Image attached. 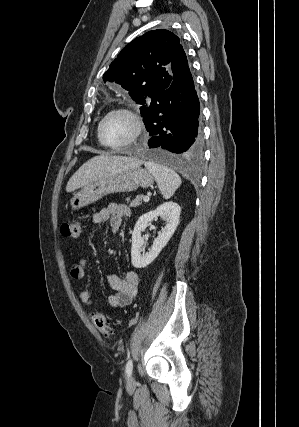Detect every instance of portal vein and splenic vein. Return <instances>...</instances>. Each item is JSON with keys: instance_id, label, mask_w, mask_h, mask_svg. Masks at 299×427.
<instances>
[{"instance_id": "18ae733b", "label": "portal vein and splenic vein", "mask_w": 299, "mask_h": 427, "mask_svg": "<svg viewBox=\"0 0 299 427\" xmlns=\"http://www.w3.org/2000/svg\"><path fill=\"white\" fill-rule=\"evenodd\" d=\"M143 200H144L145 202H148V201H149V196H144Z\"/></svg>"}]
</instances>
